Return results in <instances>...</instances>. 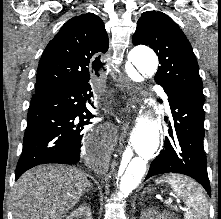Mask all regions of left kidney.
<instances>
[{"mask_svg": "<svg viewBox=\"0 0 221 219\" xmlns=\"http://www.w3.org/2000/svg\"><path fill=\"white\" fill-rule=\"evenodd\" d=\"M141 219H171V215L167 212L159 214L155 210H149L143 213Z\"/></svg>", "mask_w": 221, "mask_h": 219, "instance_id": "5707ae66", "label": "left kidney"}]
</instances>
